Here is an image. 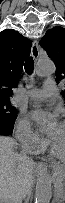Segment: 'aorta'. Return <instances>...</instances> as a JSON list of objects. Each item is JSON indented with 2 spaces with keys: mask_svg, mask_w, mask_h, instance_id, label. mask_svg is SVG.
I'll list each match as a JSON object with an SVG mask.
<instances>
[{
  "mask_svg": "<svg viewBox=\"0 0 65 203\" xmlns=\"http://www.w3.org/2000/svg\"><path fill=\"white\" fill-rule=\"evenodd\" d=\"M55 70V64L51 59H41L37 64L36 75L39 77L51 76L55 73ZM51 198L52 177L49 173L44 172L36 183L34 203H50Z\"/></svg>",
  "mask_w": 65,
  "mask_h": 203,
  "instance_id": "1",
  "label": "aorta"
}]
</instances>
